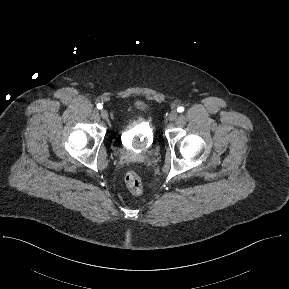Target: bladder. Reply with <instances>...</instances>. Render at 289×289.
<instances>
[{
  "instance_id": "1",
  "label": "bladder",
  "mask_w": 289,
  "mask_h": 289,
  "mask_svg": "<svg viewBox=\"0 0 289 289\" xmlns=\"http://www.w3.org/2000/svg\"><path fill=\"white\" fill-rule=\"evenodd\" d=\"M145 127L137 120H129L123 129L122 140L133 147L140 145Z\"/></svg>"
}]
</instances>
